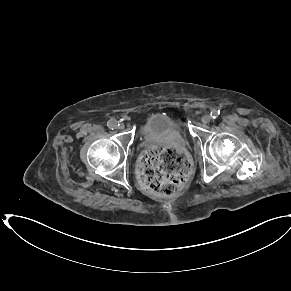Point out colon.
I'll return each instance as SVG.
<instances>
[{
	"instance_id": "obj_1",
	"label": "colon",
	"mask_w": 291,
	"mask_h": 291,
	"mask_svg": "<svg viewBox=\"0 0 291 291\" xmlns=\"http://www.w3.org/2000/svg\"><path fill=\"white\" fill-rule=\"evenodd\" d=\"M189 170L188 159L176 148L153 147L141 158L140 182L153 195L172 196L184 186Z\"/></svg>"
}]
</instances>
